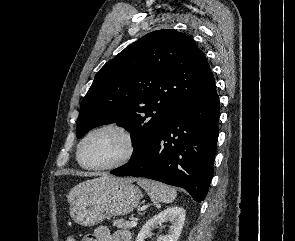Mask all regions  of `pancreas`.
<instances>
[{
	"mask_svg": "<svg viewBox=\"0 0 295 241\" xmlns=\"http://www.w3.org/2000/svg\"><path fill=\"white\" fill-rule=\"evenodd\" d=\"M113 226L121 229H131V226L128 221H125L124 219H116L113 221Z\"/></svg>",
	"mask_w": 295,
	"mask_h": 241,
	"instance_id": "1",
	"label": "pancreas"
}]
</instances>
